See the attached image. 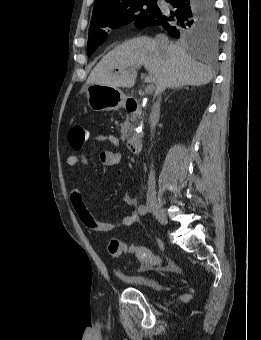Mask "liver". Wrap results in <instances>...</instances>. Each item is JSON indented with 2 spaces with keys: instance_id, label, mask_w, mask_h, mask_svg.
Segmentation results:
<instances>
[{
  "instance_id": "liver-1",
  "label": "liver",
  "mask_w": 261,
  "mask_h": 340,
  "mask_svg": "<svg viewBox=\"0 0 261 340\" xmlns=\"http://www.w3.org/2000/svg\"><path fill=\"white\" fill-rule=\"evenodd\" d=\"M142 65L148 71L144 82L156 85L155 94L165 88L204 85L213 77L209 67L195 61L182 47L170 43L162 50L154 39L142 36L107 53L91 71L86 84L131 88L136 69Z\"/></svg>"
}]
</instances>
